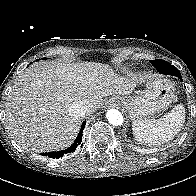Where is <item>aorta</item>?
Returning a JSON list of instances; mask_svg holds the SVG:
<instances>
[{"label":"aorta","mask_w":196,"mask_h":196,"mask_svg":"<svg viewBox=\"0 0 196 196\" xmlns=\"http://www.w3.org/2000/svg\"><path fill=\"white\" fill-rule=\"evenodd\" d=\"M108 122L114 126L121 125L124 121L122 114L116 109H109L106 113Z\"/></svg>","instance_id":"1"}]
</instances>
